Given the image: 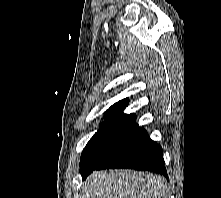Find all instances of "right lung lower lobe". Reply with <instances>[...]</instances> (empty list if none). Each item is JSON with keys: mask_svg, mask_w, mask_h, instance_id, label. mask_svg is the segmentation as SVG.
<instances>
[{"mask_svg": "<svg viewBox=\"0 0 221 198\" xmlns=\"http://www.w3.org/2000/svg\"><path fill=\"white\" fill-rule=\"evenodd\" d=\"M110 168L150 171L168 177L164 166L163 150L160 145L150 139L144 128L94 170ZM91 172L93 170L82 175V178L85 179Z\"/></svg>", "mask_w": 221, "mask_h": 198, "instance_id": "obj_1", "label": "right lung lower lobe"}]
</instances>
